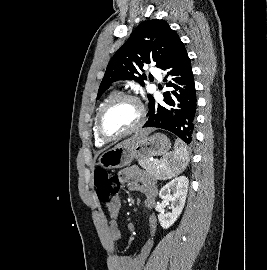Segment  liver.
Instances as JSON below:
<instances>
[{"label":"liver","instance_id":"obj_1","mask_svg":"<svg viewBox=\"0 0 267 270\" xmlns=\"http://www.w3.org/2000/svg\"><path fill=\"white\" fill-rule=\"evenodd\" d=\"M152 132V129H143L138 132H136L131 138L124 140L123 142L119 143L118 146H123V145H131L134 144L144 137L148 136Z\"/></svg>","mask_w":267,"mask_h":270}]
</instances>
